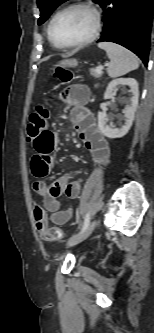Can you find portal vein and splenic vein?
I'll return each mask as SVG.
<instances>
[{
    "mask_svg": "<svg viewBox=\"0 0 154 333\" xmlns=\"http://www.w3.org/2000/svg\"><path fill=\"white\" fill-rule=\"evenodd\" d=\"M103 68H104V67L100 65V66L97 67V71H98L99 73H101L102 70H103Z\"/></svg>",
    "mask_w": 154,
    "mask_h": 333,
    "instance_id": "18ae733b",
    "label": "portal vein and splenic vein"
}]
</instances>
